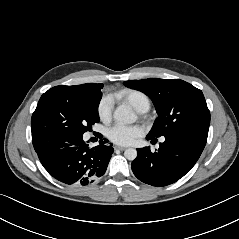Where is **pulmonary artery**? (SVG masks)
Instances as JSON below:
<instances>
[{
	"mask_svg": "<svg viewBox=\"0 0 239 239\" xmlns=\"http://www.w3.org/2000/svg\"><path fill=\"white\" fill-rule=\"evenodd\" d=\"M148 110V108H144V110L142 112H146ZM161 141H164V139H162Z\"/></svg>",
	"mask_w": 239,
	"mask_h": 239,
	"instance_id": "e3ab8cb5",
	"label": "pulmonary artery"
}]
</instances>
